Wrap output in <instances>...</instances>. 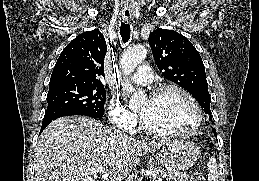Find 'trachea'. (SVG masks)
Segmentation results:
<instances>
[{"label":"trachea","instance_id":"obj_1","mask_svg":"<svg viewBox=\"0 0 259 181\" xmlns=\"http://www.w3.org/2000/svg\"><path fill=\"white\" fill-rule=\"evenodd\" d=\"M130 32H131L130 25L124 22H121L120 35L124 43H126L130 39Z\"/></svg>","mask_w":259,"mask_h":181}]
</instances>
